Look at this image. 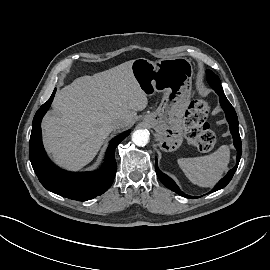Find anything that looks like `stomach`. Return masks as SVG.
Instances as JSON below:
<instances>
[{
  "label": "stomach",
  "mask_w": 270,
  "mask_h": 270,
  "mask_svg": "<svg viewBox=\"0 0 270 270\" xmlns=\"http://www.w3.org/2000/svg\"><path fill=\"white\" fill-rule=\"evenodd\" d=\"M132 73L146 94L163 93L158 108L145 115L143 121L156 131L162 150L175 151L183 142V117L191 97V62L183 57L157 62L138 58L132 63Z\"/></svg>",
  "instance_id": "stomach-1"
}]
</instances>
